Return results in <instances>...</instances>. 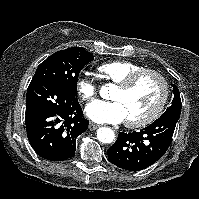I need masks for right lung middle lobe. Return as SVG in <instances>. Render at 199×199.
Returning <instances> with one entry per match:
<instances>
[{
	"label": "right lung middle lobe",
	"instance_id": "1",
	"mask_svg": "<svg viewBox=\"0 0 199 199\" xmlns=\"http://www.w3.org/2000/svg\"><path fill=\"white\" fill-rule=\"evenodd\" d=\"M92 60L93 55L82 47L57 51L38 66L31 83L55 81L76 96L78 75Z\"/></svg>",
	"mask_w": 199,
	"mask_h": 199
}]
</instances>
